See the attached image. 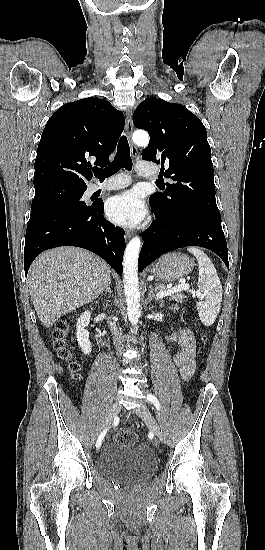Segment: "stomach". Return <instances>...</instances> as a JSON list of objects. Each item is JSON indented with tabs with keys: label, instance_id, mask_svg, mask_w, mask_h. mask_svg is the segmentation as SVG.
Masks as SVG:
<instances>
[{
	"label": "stomach",
	"instance_id": "obj_1",
	"mask_svg": "<svg viewBox=\"0 0 265 550\" xmlns=\"http://www.w3.org/2000/svg\"><path fill=\"white\" fill-rule=\"evenodd\" d=\"M195 263L192 258L182 253L163 255L153 265L152 275L162 282H171L191 273Z\"/></svg>",
	"mask_w": 265,
	"mask_h": 550
}]
</instances>
